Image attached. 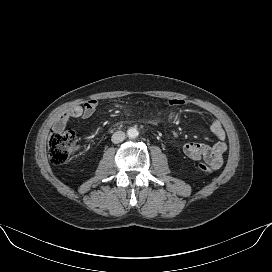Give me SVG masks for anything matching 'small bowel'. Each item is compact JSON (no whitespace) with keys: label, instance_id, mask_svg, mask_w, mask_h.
<instances>
[{"label":"small bowel","instance_id":"1","mask_svg":"<svg viewBox=\"0 0 272 272\" xmlns=\"http://www.w3.org/2000/svg\"><path fill=\"white\" fill-rule=\"evenodd\" d=\"M187 103L182 99H170L166 102L167 107H182ZM98 102L96 100L86 101L82 105L72 107L62 114L55 122V131L62 132L67 124L74 119H88L96 111ZM162 110L150 116L147 121L156 124L160 121ZM210 131L217 139V142L211 146L195 142L186 143L183 146L184 154L195 161L203 160L212 169L216 170L222 167L224 163V154L227 151L225 142L226 133L220 121L214 120L210 124Z\"/></svg>","mask_w":272,"mask_h":272}]
</instances>
